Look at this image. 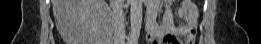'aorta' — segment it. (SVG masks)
<instances>
[{
	"label": "aorta",
	"mask_w": 261,
	"mask_h": 44,
	"mask_svg": "<svg viewBox=\"0 0 261 44\" xmlns=\"http://www.w3.org/2000/svg\"><path fill=\"white\" fill-rule=\"evenodd\" d=\"M131 38L138 41L142 24V0H130Z\"/></svg>",
	"instance_id": "1"
}]
</instances>
